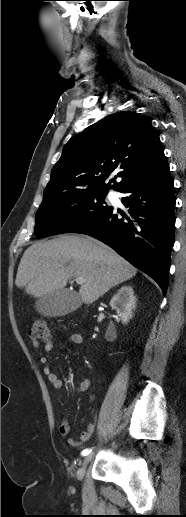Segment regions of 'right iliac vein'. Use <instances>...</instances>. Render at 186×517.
Listing matches in <instances>:
<instances>
[{"label":"right iliac vein","mask_w":186,"mask_h":517,"mask_svg":"<svg viewBox=\"0 0 186 517\" xmlns=\"http://www.w3.org/2000/svg\"><path fill=\"white\" fill-rule=\"evenodd\" d=\"M93 454L87 455L82 462V468L80 469V475H83L85 467L89 464V462L92 460Z\"/></svg>","instance_id":"right-iliac-vein-1"}]
</instances>
